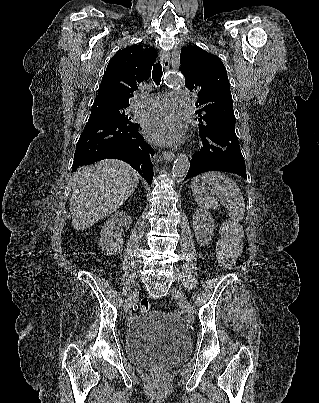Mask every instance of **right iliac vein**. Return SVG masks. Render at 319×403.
<instances>
[{
    "mask_svg": "<svg viewBox=\"0 0 319 403\" xmlns=\"http://www.w3.org/2000/svg\"><path fill=\"white\" fill-rule=\"evenodd\" d=\"M137 296H138V291L137 290L133 291L130 294V296L128 297V299L126 300V303L124 305L125 312H128L131 309L133 303L137 299Z\"/></svg>",
    "mask_w": 319,
    "mask_h": 403,
    "instance_id": "63e3f726",
    "label": "right iliac vein"
}]
</instances>
